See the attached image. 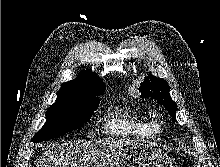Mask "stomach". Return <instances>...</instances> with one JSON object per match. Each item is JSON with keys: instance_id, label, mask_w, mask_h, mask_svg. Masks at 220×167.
Instances as JSON below:
<instances>
[{"instance_id": "0dacf381", "label": "stomach", "mask_w": 220, "mask_h": 167, "mask_svg": "<svg viewBox=\"0 0 220 167\" xmlns=\"http://www.w3.org/2000/svg\"><path fill=\"white\" fill-rule=\"evenodd\" d=\"M113 167H173V165L159 148L151 143H145L124 147Z\"/></svg>"}]
</instances>
